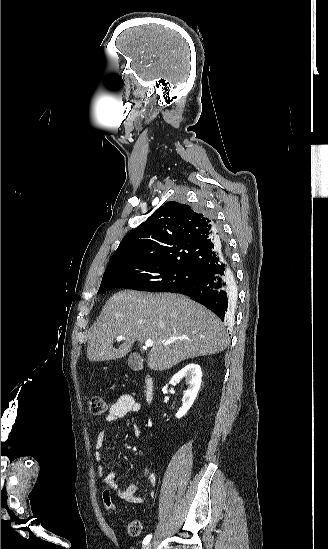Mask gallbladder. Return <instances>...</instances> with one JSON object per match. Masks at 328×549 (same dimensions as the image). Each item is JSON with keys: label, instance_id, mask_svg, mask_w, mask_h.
Segmentation results:
<instances>
[{"label": "gallbladder", "instance_id": "bac80fb5", "mask_svg": "<svg viewBox=\"0 0 328 549\" xmlns=\"http://www.w3.org/2000/svg\"><path fill=\"white\" fill-rule=\"evenodd\" d=\"M128 365L132 371H142L143 363L138 353H132L128 359Z\"/></svg>", "mask_w": 328, "mask_h": 549}]
</instances>
